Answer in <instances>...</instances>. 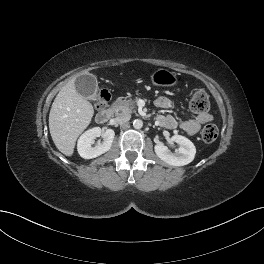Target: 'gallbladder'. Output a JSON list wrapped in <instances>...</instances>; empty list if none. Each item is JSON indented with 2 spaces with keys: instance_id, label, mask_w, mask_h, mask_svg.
<instances>
[{
  "instance_id": "bac80fb5",
  "label": "gallbladder",
  "mask_w": 264,
  "mask_h": 264,
  "mask_svg": "<svg viewBox=\"0 0 264 264\" xmlns=\"http://www.w3.org/2000/svg\"><path fill=\"white\" fill-rule=\"evenodd\" d=\"M76 91L88 100L97 98V79L92 74L80 75L75 80Z\"/></svg>"
}]
</instances>
